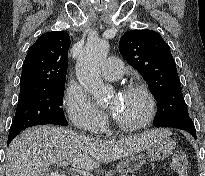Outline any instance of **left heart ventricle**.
Instances as JSON below:
<instances>
[{
    "label": "left heart ventricle",
    "mask_w": 205,
    "mask_h": 176,
    "mask_svg": "<svg viewBox=\"0 0 205 176\" xmlns=\"http://www.w3.org/2000/svg\"><path fill=\"white\" fill-rule=\"evenodd\" d=\"M113 115L121 122L134 125L141 122L148 113L146 98L136 92L114 95L109 101Z\"/></svg>",
    "instance_id": "obj_1"
}]
</instances>
